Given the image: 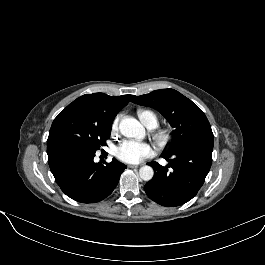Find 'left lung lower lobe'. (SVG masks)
I'll return each mask as SVG.
<instances>
[{"label": "left lung lower lobe", "mask_w": 265, "mask_h": 265, "mask_svg": "<svg viewBox=\"0 0 265 265\" xmlns=\"http://www.w3.org/2000/svg\"><path fill=\"white\" fill-rule=\"evenodd\" d=\"M213 144V133H203L164 154L169 165L150 162L154 176L144 186L148 197L166 207L180 206L195 197L210 170Z\"/></svg>", "instance_id": "obj_1"}]
</instances>
